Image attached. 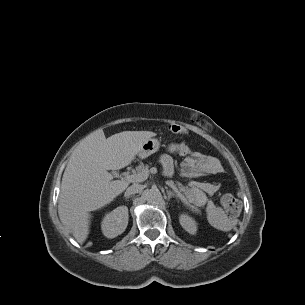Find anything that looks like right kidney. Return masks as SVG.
<instances>
[{"mask_svg":"<svg viewBox=\"0 0 305 305\" xmlns=\"http://www.w3.org/2000/svg\"><path fill=\"white\" fill-rule=\"evenodd\" d=\"M128 208L119 206L107 213L101 223V229L107 238H115L122 234L128 225Z\"/></svg>","mask_w":305,"mask_h":305,"instance_id":"1","label":"right kidney"}]
</instances>
